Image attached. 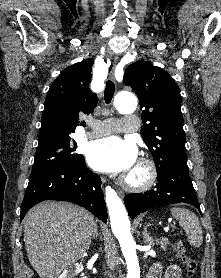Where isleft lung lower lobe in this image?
Masks as SVG:
<instances>
[{
	"instance_id": "0a47b994",
	"label": "left lung lower lobe",
	"mask_w": 221,
	"mask_h": 278,
	"mask_svg": "<svg viewBox=\"0 0 221 278\" xmlns=\"http://www.w3.org/2000/svg\"><path fill=\"white\" fill-rule=\"evenodd\" d=\"M157 176L154 190L125 196L124 203L131 218L151 208L174 203H187L200 210L187 162H175Z\"/></svg>"
}]
</instances>
